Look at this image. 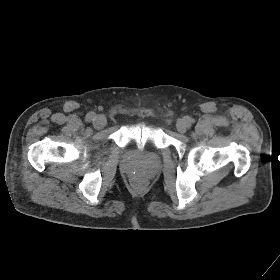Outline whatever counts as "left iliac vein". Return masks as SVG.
I'll list each match as a JSON object with an SVG mask.
<instances>
[{
  "label": "left iliac vein",
  "instance_id": "left-iliac-vein-1",
  "mask_svg": "<svg viewBox=\"0 0 280 280\" xmlns=\"http://www.w3.org/2000/svg\"><path fill=\"white\" fill-rule=\"evenodd\" d=\"M176 128L178 132L185 133L188 128V125L183 119H178L176 122Z\"/></svg>",
  "mask_w": 280,
  "mask_h": 280
}]
</instances>
